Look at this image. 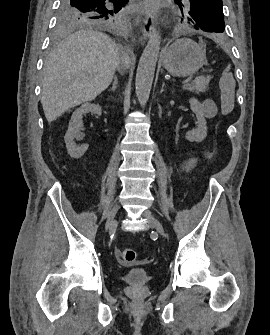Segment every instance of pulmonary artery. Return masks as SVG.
I'll list each match as a JSON object with an SVG mask.
<instances>
[{
    "label": "pulmonary artery",
    "mask_w": 270,
    "mask_h": 335,
    "mask_svg": "<svg viewBox=\"0 0 270 335\" xmlns=\"http://www.w3.org/2000/svg\"><path fill=\"white\" fill-rule=\"evenodd\" d=\"M185 4H189V0H183Z\"/></svg>",
    "instance_id": "obj_1"
}]
</instances>
